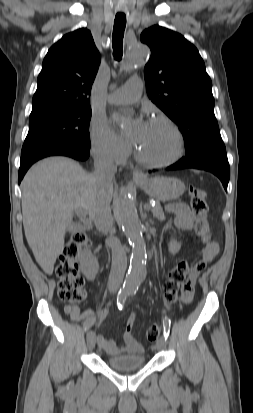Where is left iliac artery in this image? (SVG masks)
Segmentation results:
<instances>
[{"label":"left iliac artery","mask_w":253,"mask_h":413,"mask_svg":"<svg viewBox=\"0 0 253 413\" xmlns=\"http://www.w3.org/2000/svg\"><path fill=\"white\" fill-rule=\"evenodd\" d=\"M136 293V290H131L129 292V295H134ZM170 325H171V321L169 318L165 317L163 319V334L165 337V340H167V338L169 337L170 334Z\"/></svg>","instance_id":"1"}]
</instances>
